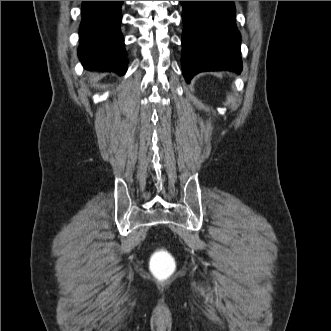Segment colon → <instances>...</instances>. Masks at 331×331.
<instances>
[{"mask_svg": "<svg viewBox=\"0 0 331 331\" xmlns=\"http://www.w3.org/2000/svg\"><path fill=\"white\" fill-rule=\"evenodd\" d=\"M176 264L173 257L165 250L155 252L151 259V271L161 281L173 275Z\"/></svg>", "mask_w": 331, "mask_h": 331, "instance_id": "1", "label": "colon"}]
</instances>
